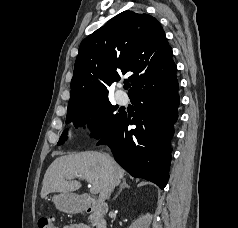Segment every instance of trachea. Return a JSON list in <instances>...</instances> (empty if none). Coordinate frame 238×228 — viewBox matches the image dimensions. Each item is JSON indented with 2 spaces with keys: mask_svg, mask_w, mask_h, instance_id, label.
<instances>
[{
  "mask_svg": "<svg viewBox=\"0 0 238 228\" xmlns=\"http://www.w3.org/2000/svg\"><path fill=\"white\" fill-rule=\"evenodd\" d=\"M129 87H130L129 84H125V85H124V89H126V90H127Z\"/></svg>",
  "mask_w": 238,
  "mask_h": 228,
  "instance_id": "1",
  "label": "trachea"
}]
</instances>
